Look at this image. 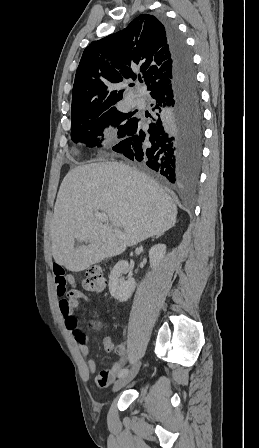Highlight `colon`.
Returning a JSON list of instances; mask_svg holds the SVG:
<instances>
[{"label": "colon", "mask_w": 259, "mask_h": 448, "mask_svg": "<svg viewBox=\"0 0 259 448\" xmlns=\"http://www.w3.org/2000/svg\"><path fill=\"white\" fill-rule=\"evenodd\" d=\"M82 285L86 291L100 294L106 289V280L98 268H90L84 275Z\"/></svg>", "instance_id": "1"}]
</instances>
